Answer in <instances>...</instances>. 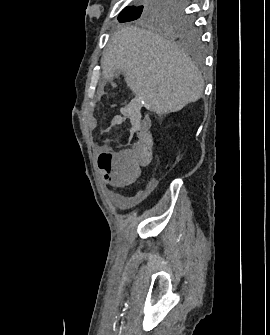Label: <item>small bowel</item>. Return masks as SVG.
Returning a JSON list of instances; mask_svg holds the SVG:
<instances>
[{"instance_id": "c3829d8e", "label": "small bowel", "mask_w": 270, "mask_h": 335, "mask_svg": "<svg viewBox=\"0 0 270 335\" xmlns=\"http://www.w3.org/2000/svg\"><path fill=\"white\" fill-rule=\"evenodd\" d=\"M136 126L133 127V134H138V144H134L133 147H123V149H107L106 154H94L93 165L97 173H102V178L105 180L130 178L122 185L131 184L136 178H139L143 165H148V156H155V149L146 146L154 143L153 138H150L151 120L144 117L136 123ZM117 196L125 203H133L137 199V197Z\"/></svg>"}]
</instances>
